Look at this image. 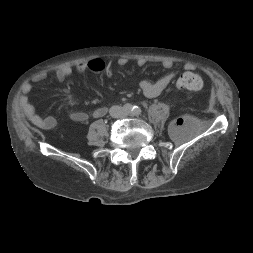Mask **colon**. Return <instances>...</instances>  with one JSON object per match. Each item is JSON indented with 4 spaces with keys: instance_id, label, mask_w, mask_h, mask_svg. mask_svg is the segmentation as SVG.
<instances>
[{
    "instance_id": "5ec220e1",
    "label": "colon",
    "mask_w": 253,
    "mask_h": 253,
    "mask_svg": "<svg viewBox=\"0 0 253 253\" xmlns=\"http://www.w3.org/2000/svg\"><path fill=\"white\" fill-rule=\"evenodd\" d=\"M88 66L92 72L100 73L105 71L107 65L103 59L97 58L89 61ZM176 85L181 89L200 91L204 87V81L197 73L185 72L177 79Z\"/></svg>"
}]
</instances>
